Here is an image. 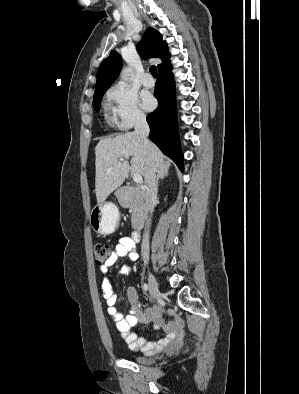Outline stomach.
<instances>
[{"label": "stomach", "instance_id": "0dacf381", "mask_svg": "<svg viewBox=\"0 0 299 394\" xmlns=\"http://www.w3.org/2000/svg\"><path fill=\"white\" fill-rule=\"evenodd\" d=\"M119 217L116 205L111 202H102L92 209L90 225L96 233L109 235L117 229Z\"/></svg>", "mask_w": 299, "mask_h": 394}]
</instances>
